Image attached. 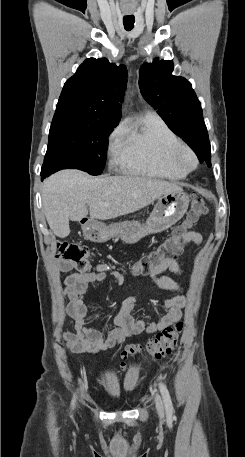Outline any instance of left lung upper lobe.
I'll return each mask as SVG.
<instances>
[{
    "label": "left lung upper lobe",
    "mask_w": 245,
    "mask_h": 457,
    "mask_svg": "<svg viewBox=\"0 0 245 457\" xmlns=\"http://www.w3.org/2000/svg\"><path fill=\"white\" fill-rule=\"evenodd\" d=\"M173 69V63L165 60L155 59L153 63L142 64L139 72L141 94L198 156L210 144L201 103L190 82L172 75Z\"/></svg>",
    "instance_id": "1"
}]
</instances>
